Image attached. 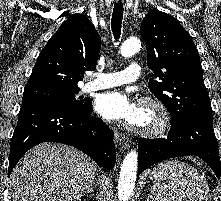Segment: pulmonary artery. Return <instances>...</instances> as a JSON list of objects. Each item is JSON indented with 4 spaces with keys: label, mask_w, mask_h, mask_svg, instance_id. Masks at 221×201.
Masks as SVG:
<instances>
[{
    "label": "pulmonary artery",
    "mask_w": 221,
    "mask_h": 201,
    "mask_svg": "<svg viewBox=\"0 0 221 201\" xmlns=\"http://www.w3.org/2000/svg\"><path fill=\"white\" fill-rule=\"evenodd\" d=\"M141 76V66L137 63H132L122 71L97 74L94 80L84 85L83 91L90 92L135 82L140 79Z\"/></svg>",
    "instance_id": "e3ab8cb5"
}]
</instances>
